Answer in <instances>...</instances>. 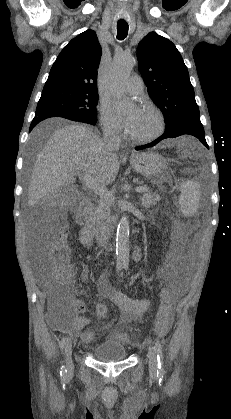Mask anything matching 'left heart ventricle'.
<instances>
[{"instance_id":"b2bd125f","label":"left heart ventricle","mask_w":231,"mask_h":419,"mask_svg":"<svg viewBox=\"0 0 231 419\" xmlns=\"http://www.w3.org/2000/svg\"><path fill=\"white\" fill-rule=\"evenodd\" d=\"M157 127L155 115L147 110H140L136 122L129 132L134 136L144 137L154 133Z\"/></svg>"}]
</instances>
